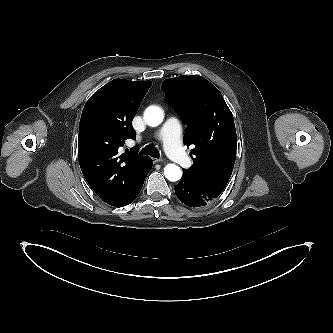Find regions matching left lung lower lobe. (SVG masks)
I'll list each match as a JSON object with an SVG mask.
<instances>
[{
	"instance_id": "0a47b994",
	"label": "left lung lower lobe",
	"mask_w": 333,
	"mask_h": 333,
	"mask_svg": "<svg viewBox=\"0 0 333 333\" xmlns=\"http://www.w3.org/2000/svg\"><path fill=\"white\" fill-rule=\"evenodd\" d=\"M175 193L179 200L189 207L208 206L216 199L212 194L194 186L185 175L175 185Z\"/></svg>"
}]
</instances>
